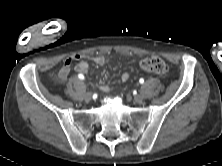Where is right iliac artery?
<instances>
[{
	"label": "right iliac artery",
	"mask_w": 222,
	"mask_h": 166,
	"mask_svg": "<svg viewBox=\"0 0 222 166\" xmlns=\"http://www.w3.org/2000/svg\"><path fill=\"white\" fill-rule=\"evenodd\" d=\"M78 77H79V79L84 80V75L83 74H79Z\"/></svg>",
	"instance_id": "82829eb1"
}]
</instances>
